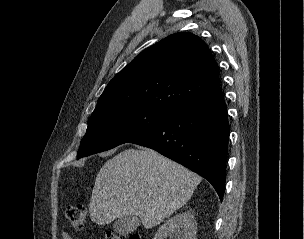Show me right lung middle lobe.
I'll return each instance as SVG.
<instances>
[{
  "label": "right lung middle lobe",
  "instance_id": "dd1d6c3e",
  "mask_svg": "<svg viewBox=\"0 0 304 239\" xmlns=\"http://www.w3.org/2000/svg\"><path fill=\"white\" fill-rule=\"evenodd\" d=\"M171 115L144 107L105 111L89 118L77 158L112 149L143 135L162 124Z\"/></svg>",
  "mask_w": 304,
  "mask_h": 239
}]
</instances>
